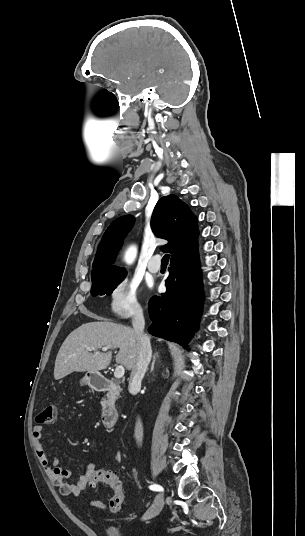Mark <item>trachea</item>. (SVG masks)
Wrapping results in <instances>:
<instances>
[{
	"label": "trachea",
	"mask_w": 305,
	"mask_h": 536,
	"mask_svg": "<svg viewBox=\"0 0 305 536\" xmlns=\"http://www.w3.org/2000/svg\"><path fill=\"white\" fill-rule=\"evenodd\" d=\"M169 258H170V255H168V254L164 255L163 258H162V263H168Z\"/></svg>",
	"instance_id": "trachea-1"
}]
</instances>
